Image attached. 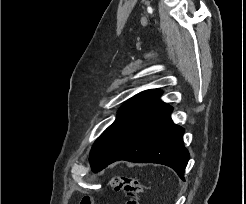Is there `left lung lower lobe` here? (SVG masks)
<instances>
[{"label": "left lung lower lobe", "mask_w": 246, "mask_h": 204, "mask_svg": "<svg viewBox=\"0 0 246 204\" xmlns=\"http://www.w3.org/2000/svg\"><path fill=\"white\" fill-rule=\"evenodd\" d=\"M161 93L158 91L129 110L101 134L90 152L93 172L127 160L167 165L184 180L190 157L183 144L184 129L173 124V108L159 99Z\"/></svg>", "instance_id": "1"}]
</instances>
